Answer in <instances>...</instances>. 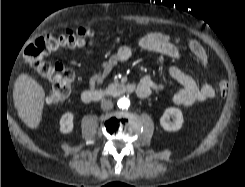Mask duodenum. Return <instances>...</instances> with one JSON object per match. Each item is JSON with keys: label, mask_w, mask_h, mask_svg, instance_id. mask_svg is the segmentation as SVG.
<instances>
[{"label": "duodenum", "mask_w": 245, "mask_h": 187, "mask_svg": "<svg viewBox=\"0 0 245 187\" xmlns=\"http://www.w3.org/2000/svg\"><path fill=\"white\" fill-rule=\"evenodd\" d=\"M138 91V85L134 83L114 82L106 87L84 90L81 94L83 101H99L106 97H118Z\"/></svg>", "instance_id": "410a0bca"}]
</instances>
